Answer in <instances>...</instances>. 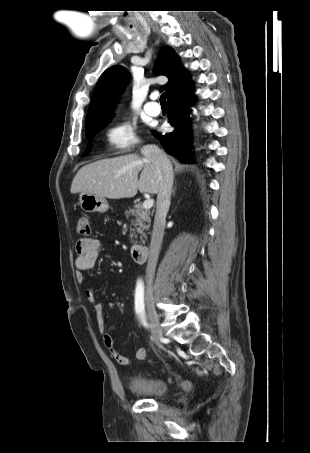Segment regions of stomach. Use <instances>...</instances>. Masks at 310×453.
<instances>
[{
    "instance_id": "1",
    "label": "stomach",
    "mask_w": 310,
    "mask_h": 453,
    "mask_svg": "<svg viewBox=\"0 0 310 453\" xmlns=\"http://www.w3.org/2000/svg\"><path fill=\"white\" fill-rule=\"evenodd\" d=\"M79 205L83 211L88 213H105L109 209V204L105 198L89 193L80 194Z\"/></svg>"
}]
</instances>
